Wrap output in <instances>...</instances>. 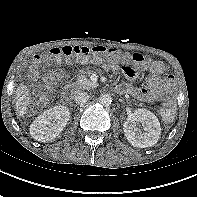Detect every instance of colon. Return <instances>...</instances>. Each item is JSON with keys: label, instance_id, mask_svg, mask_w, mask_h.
<instances>
[{"label": "colon", "instance_id": "obj_1", "mask_svg": "<svg viewBox=\"0 0 197 197\" xmlns=\"http://www.w3.org/2000/svg\"><path fill=\"white\" fill-rule=\"evenodd\" d=\"M73 58L79 59L81 61H86L91 58L96 62L108 61L111 63H117L120 60L131 59L134 66L141 68L145 65L146 60L141 54H133L131 57L129 55L122 54L117 49H108L104 46H63L52 48L49 53L42 57L37 56L35 58V63L39 64L42 62L53 63L61 59L71 60ZM55 74H49L45 77V84L39 86L36 90V96L41 97L47 92V85L50 84L55 79ZM176 110L174 104L169 102L165 104L161 110L162 118L170 122L174 119Z\"/></svg>", "mask_w": 197, "mask_h": 197}]
</instances>
